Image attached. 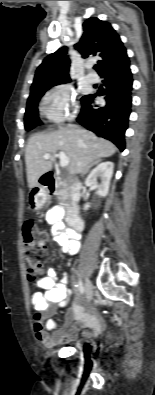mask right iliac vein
<instances>
[{
    "label": "right iliac vein",
    "mask_w": 155,
    "mask_h": 395,
    "mask_svg": "<svg viewBox=\"0 0 155 395\" xmlns=\"http://www.w3.org/2000/svg\"><path fill=\"white\" fill-rule=\"evenodd\" d=\"M85 292L87 300L90 301L93 296V286L88 279L85 280Z\"/></svg>",
    "instance_id": "right-iliac-vein-1"
}]
</instances>
